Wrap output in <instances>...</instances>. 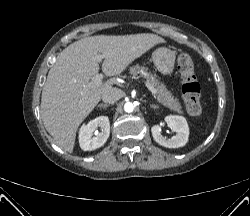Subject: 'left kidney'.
Returning a JSON list of instances; mask_svg holds the SVG:
<instances>
[{"label": "left kidney", "mask_w": 250, "mask_h": 216, "mask_svg": "<svg viewBox=\"0 0 250 216\" xmlns=\"http://www.w3.org/2000/svg\"><path fill=\"white\" fill-rule=\"evenodd\" d=\"M168 127L172 131L176 132V136L171 139H167L161 134V127L159 125H154L151 128L152 136L154 140L167 148H179L188 142L189 137V127L187 121L182 116L168 115L164 118Z\"/></svg>", "instance_id": "1"}]
</instances>
